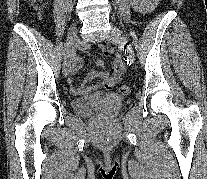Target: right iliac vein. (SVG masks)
Returning a JSON list of instances; mask_svg holds the SVG:
<instances>
[{"label": "right iliac vein", "mask_w": 207, "mask_h": 179, "mask_svg": "<svg viewBox=\"0 0 207 179\" xmlns=\"http://www.w3.org/2000/svg\"><path fill=\"white\" fill-rule=\"evenodd\" d=\"M76 37H77V28L76 26H72L68 32L67 36V49H66V59L64 60L63 63V75L64 77L69 76V58L71 57L73 51H74V44L76 42Z\"/></svg>", "instance_id": "obj_1"}]
</instances>
